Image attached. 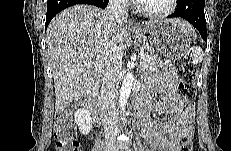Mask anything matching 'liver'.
Listing matches in <instances>:
<instances>
[{"mask_svg":"<svg viewBox=\"0 0 231 151\" xmlns=\"http://www.w3.org/2000/svg\"><path fill=\"white\" fill-rule=\"evenodd\" d=\"M172 21L187 33L193 30L182 19ZM128 42L126 22L114 26L105 10L92 5H75L53 18L46 32V51L54 80L55 113L95 92L110 60L118 56L121 63Z\"/></svg>","mask_w":231,"mask_h":151,"instance_id":"liver-1","label":"liver"}]
</instances>
